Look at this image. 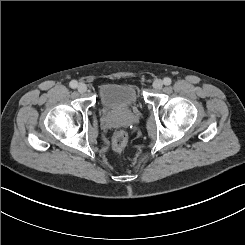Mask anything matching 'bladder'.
Masks as SVG:
<instances>
[{
    "label": "bladder",
    "mask_w": 245,
    "mask_h": 245,
    "mask_svg": "<svg viewBox=\"0 0 245 245\" xmlns=\"http://www.w3.org/2000/svg\"><path fill=\"white\" fill-rule=\"evenodd\" d=\"M100 93L107 108L132 110L139 103L137 91L132 85L108 84L102 86Z\"/></svg>",
    "instance_id": "bladder-1"
}]
</instances>
